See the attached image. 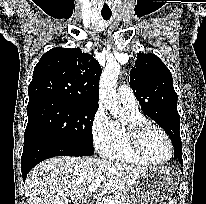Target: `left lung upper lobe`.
I'll return each mask as SVG.
<instances>
[{
    "instance_id": "left-lung-upper-lobe-1",
    "label": "left lung upper lobe",
    "mask_w": 206,
    "mask_h": 204,
    "mask_svg": "<svg viewBox=\"0 0 206 204\" xmlns=\"http://www.w3.org/2000/svg\"><path fill=\"white\" fill-rule=\"evenodd\" d=\"M130 86L144 113L169 135L174 154L182 153L177 94L169 69L156 55L139 52L130 72Z\"/></svg>"
}]
</instances>
